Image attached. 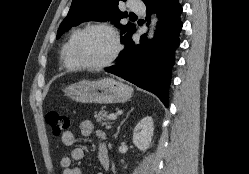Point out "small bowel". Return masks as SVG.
<instances>
[{
    "label": "small bowel",
    "mask_w": 249,
    "mask_h": 174,
    "mask_svg": "<svg viewBox=\"0 0 249 174\" xmlns=\"http://www.w3.org/2000/svg\"><path fill=\"white\" fill-rule=\"evenodd\" d=\"M80 131L84 136H90L94 133V125L90 120H84L80 124ZM96 136L99 139V148H98V162L104 171H108L110 167V158L107 151V148L103 144L105 135L101 131L96 132ZM62 143L67 147H72L76 143L75 135L68 131L61 137ZM86 152L81 147H75L71 151L70 155H65L60 158V166L63 169L62 174H83L82 169L78 167H72V161H79L84 159Z\"/></svg>",
    "instance_id": "small-bowel-1"
}]
</instances>
